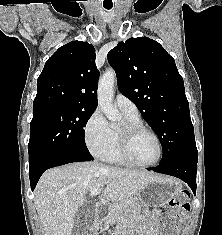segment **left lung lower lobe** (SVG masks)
Here are the masks:
<instances>
[{
    "instance_id": "left-lung-lower-lobe-1",
    "label": "left lung lower lobe",
    "mask_w": 222,
    "mask_h": 235,
    "mask_svg": "<svg viewBox=\"0 0 222 235\" xmlns=\"http://www.w3.org/2000/svg\"><path fill=\"white\" fill-rule=\"evenodd\" d=\"M197 157H179L167 161L165 163H160L155 168H150L148 170H153L154 172L168 174L175 176L184 182H186L192 189L194 195L196 193V174H197Z\"/></svg>"
}]
</instances>
